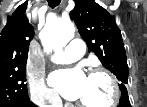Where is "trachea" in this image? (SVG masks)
Segmentation results:
<instances>
[{"mask_svg": "<svg viewBox=\"0 0 147 107\" xmlns=\"http://www.w3.org/2000/svg\"><path fill=\"white\" fill-rule=\"evenodd\" d=\"M61 0H48V5L51 8H55L60 4Z\"/></svg>", "mask_w": 147, "mask_h": 107, "instance_id": "1", "label": "trachea"}]
</instances>
